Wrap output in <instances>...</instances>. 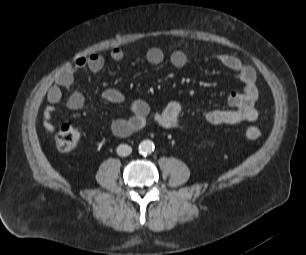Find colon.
<instances>
[{
  "label": "colon",
  "mask_w": 306,
  "mask_h": 255,
  "mask_svg": "<svg viewBox=\"0 0 306 255\" xmlns=\"http://www.w3.org/2000/svg\"><path fill=\"white\" fill-rule=\"evenodd\" d=\"M245 134L249 139H257L260 136L261 131L256 126H249L246 129ZM79 138L80 134L77 129L70 125H63L56 135V146L61 153H70L77 146Z\"/></svg>",
  "instance_id": "colon-1"
}]
</instances>
